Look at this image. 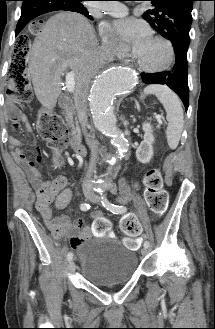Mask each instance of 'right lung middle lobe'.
<instances>
[{
  "instance_id": "1",
  "label": "right lung middle lobe",
  "mask_w": 215,
  "mask_h": 329,
  "mask_svg": "<svg viewBox=\"0 0 215 329\" xmlns=\"http://www.w3.org/2000/svg\"><path fill=\"white\" fill-rule=\"evenodd\" d=\"M71 2L74 3L77 7L84 8L83 4L81 3L84 0H70Z\"/></svg>"
}]
</instances>
